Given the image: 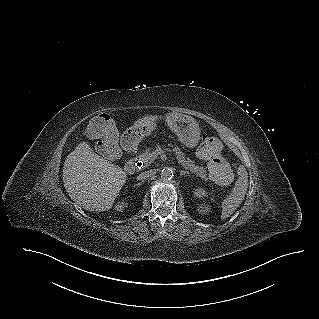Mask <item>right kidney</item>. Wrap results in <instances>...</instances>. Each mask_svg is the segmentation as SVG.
I'll use <instances>...</instances> for the list:
<instances>
[{
    "label": "right kidney",
    "instance_id": "ca27d5eb",
    "mask_svg": "<svg viewBox=\"0 0 319 319\" xmlns=\"http://www.w3.org/2000/svg\"><path fill=\"white\" fill-rule=\"evenodd\" d=\"M127 204L125 202H118V204L116 205L115 209L119 212H122L124 210V207H126Z\"/></svg>",
    "mask_w": 319,
    "mask_h": 319
}]
</instances>
